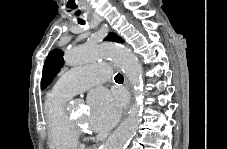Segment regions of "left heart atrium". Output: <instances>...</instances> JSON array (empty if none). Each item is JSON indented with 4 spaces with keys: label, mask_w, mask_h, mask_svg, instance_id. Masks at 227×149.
Returning <instances> with one entry per match:
<instances>
[{
    "label": "left heart atrium",
    "mask_w": 227,
    "mask_h": 149,
    "mask_svg": "<svg viewBox=\"0 0 227 149\" xmlns=\"http://www.w3.org/2000/svg\"><path fill=\"white\" fill-rule=\"evenodd\" d=\"M89 124L96 131L110 129L120 116L121 98L105 89H97L90 96Z\"/></svg>",
    "instance_id": "left-heart-atrium-1"
}]
</instances>
